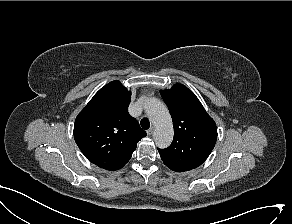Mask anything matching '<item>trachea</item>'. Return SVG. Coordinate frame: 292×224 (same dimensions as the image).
Wrapping results in <instances>:
<instances>
[{"mask_svg": "<svg viewBox=\"0 0 292 224\" xmlns=\"http://www.w3.org/2000/svg\"><path fill=\"white\" fill-rule=\"evenodd\" d=\"M140 124H141L142 128L145 130L149 129V127H150V121L147 118H143L140 121Z\"/></svg>", "mask_w": 292, "mask_h": 224, "instance_id": "obj_1", "label": "trachea"}]
</instances>
